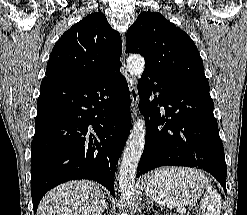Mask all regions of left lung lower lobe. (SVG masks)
Masks as SVG:
<instances>
[{"label": "left lung lower lobe", "instance_id": "left-lung-lower-lobe-1", "mask_svg": "<svg viewBox=\"0 0 247 215\" xmlns=\"http://www.w3.org/2000/svg\"><path fill=\"white\" fill-rule=\"evenodd\" d=\"M138 93L146 143L136 177L160 166H188L212 174L226 192L224 149L209 91L144 70Z\"/></svg>", "mask_w": 247, "mask_h": 215}]
</instances>
